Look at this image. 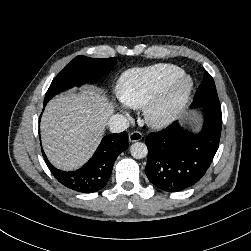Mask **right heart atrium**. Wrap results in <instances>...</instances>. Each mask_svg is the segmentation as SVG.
Segmentation results:
<instances>
[{
    "label": "right heart atrium",
    "instance_id": "right-heart-atrium-1",
    "mask_svg": "<svg viewBox=\"0 0 251 251\" xmlns=\"http://www.w3.org/2000/svg\"><path fill=\"white\" fill-rule=\"evenodd\" d=\"M116 108L119 109L120 111H123V112L126 111L125 107L122 106V105H119V106H117Z\"/></svg>",
    "mask_w": 251,
    "mask_h": 251
}]
</instances>
